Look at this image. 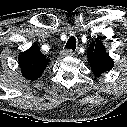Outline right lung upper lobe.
<instances>
[{
	"mask_svg": "<svg viewBox=\"0 0 127 127\" xmlns=\"http://www.w3.org/2000/svg\"><path fill=\"white\" fill-rule=\"evenodd\" d=\"M22 75L28 80H36L42 76L50 59L41 53L37 44L22 52L18 57Z\"/></svg>",
	"mask_w": 127,
	"mask_h": 127,
	"instance_id": "cb5924a9",
	"label": "right lung upper lobe"
}]
</instances>
